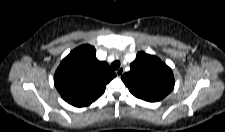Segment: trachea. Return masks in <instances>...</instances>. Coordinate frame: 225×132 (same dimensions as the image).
<instances>
[{"label": "trachea", "mask_w": 225, "mask_h": 132, "mask_svg": "<svg viewBox=\"0 0 225 132\" xmlns=\"http://www.w3.org/2000/svg\"><path fill=\"white\" fill-rule=\"evenodd\" d=\"M119 67H120V62H119V61H114V62L111 64V68H112L113 70H117Z\"/></svg>", "instance_id": "trachea-1"}]
</instances>
